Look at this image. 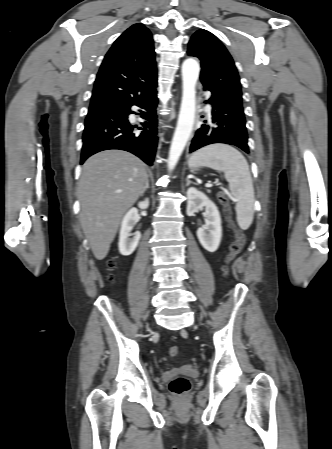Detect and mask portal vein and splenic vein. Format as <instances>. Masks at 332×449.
Here are the masks:
<instances>
[{"mask_svg":"<svg viewBox=\"0 0 332 449\" xmlns=\"http://www.w3.org/2000/svg\"><path fill=\"white\" fill-rule=\"evenodd\" d=\"M206 187H212V184L208 183L206 184Z\"/></svg>","mask_w":332,"mask_h":449,"instance_id":"obj_1","label":"portal vein and splenic vein"}]
</instances>
